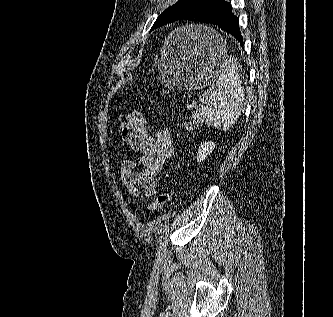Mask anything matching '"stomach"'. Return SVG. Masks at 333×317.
Returning <instances> with one entry per match:
<instances>
[{
	"instance_id": "stomach-1",
	"label": "stomach",
	"mask_w": 333,
	"mask_h": 317,
	"mask_svg": "<svg viewBox=\"0 0 333 317\" xmlns=\"http://www.w3.org/2000/svg\"><path fill=\"white\" fill-rule=\"evenodd\" d=\"M209 24H183L165 40L161 49L158 68L161 82L171 88L167 95H202L203 89L217 81V74H225L228 62H235V55H224L227 41L219 29ZM197 31V32H196Z\"/></svg>"
}]
</instances>
